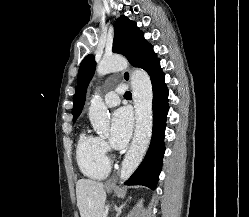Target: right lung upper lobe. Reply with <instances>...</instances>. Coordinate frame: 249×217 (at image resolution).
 <instances>
[{
    "instance_id": "obj_1",
    "label": "right lung upper lobe",
    "mask_w": 249,
    "mask_h": 217,
    "mask_svg": "<svg viewBox=\"0 0 249 217\" xmlns=\"http://www.w3.org/2000/svg\"><path fill=\"white\" fill-rule=\"evenodd\" d=\"M78 107H79V103H78V97H77V93H76L74 95V107H73V110H72V112H73V121H75L76 118H77L76 113H77Z\"/></svg>"
}]
</instances>
